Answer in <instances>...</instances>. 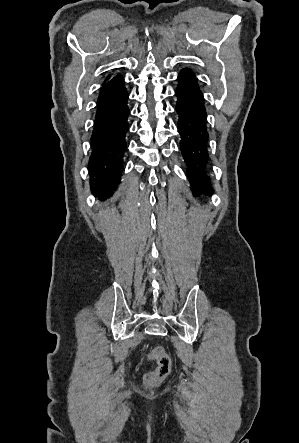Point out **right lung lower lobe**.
Masks as SVG:
<instances>
[{
	"instance_id": "98d812e1",
	"label": "right lung lower lobe",
	"mask_w": 299,
	"mask_h": 443,
	"mask_svg": "<svg viewBox=\"0 0 299 443\" xmlns=\"http://www.w3.org/2000/svg\"><path fill=\"white\" fill-rule=\"evenodd\" d=\"M128 93L121 75L106 81L97 102L90 157V186L94 196L107 199L120 182L128 131Z\"/></svg>"
}]
</instances>
